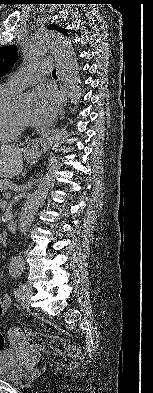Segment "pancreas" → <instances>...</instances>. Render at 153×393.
<instances>
[{"mask_svg":"<svg viewBox=\"0 0 153 393\" xmlns=\"http://www.w3.org/2000/svg\"><path fill=\"white\" fill-rule=\"evenodd\" d=\"M13 185L10 179H0V192L7 193L10 187Z\"/></svg>","mask_w":153,"mask_h":393,"instance_id":"obj_1","label":"pancreas"}]
</instances>
